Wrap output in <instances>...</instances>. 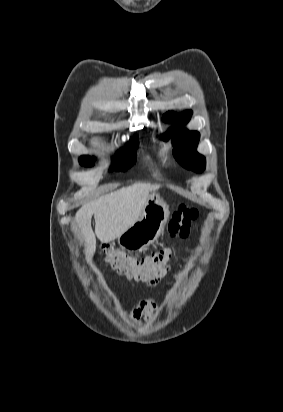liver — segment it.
I'll list each match as a JSON object with an SVG mask.
<instances>
[{"mask_svg": "<svg viewBox=\"0 0 283 412\" xmlns=\"http://www.w3.org/2000/svg\"><path fill=\"white\" fill-rule=\"evenodd\" d=\"M157 185L135 183L103 195L85 205L76 213L75 220L85 241L86 260L96 250V236L103 243H109L137 222L149 198V192ZM94 215L95 232L91 227Z\"/></svg>", "mask_w": 283, "mask_h": 412, "instance_id": "liver-1", "label": "liver"}]
</instances>
